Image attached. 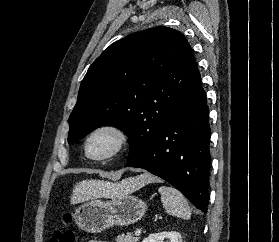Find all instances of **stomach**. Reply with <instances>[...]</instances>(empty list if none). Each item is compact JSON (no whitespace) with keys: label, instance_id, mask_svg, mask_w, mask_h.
I'll return each instance as SVG.
<instances>
[{"label":"stomach","instance_id":"obj_1","mask_svg":"<svg viewBox=\"0 0 279 242\" xmlns=\"http://www.w3.org/2000/svg\"><path fill=\"white\" fill-rule=\"evenodd\" d=\"M108 196L110 201L92 199L75 210L73 218L81 230L100 233L114 225L134 224L145 215V201L130 195L122 185H117Z\"/></svg>","mask_w":279,"mask_h":242}]
</instances>
